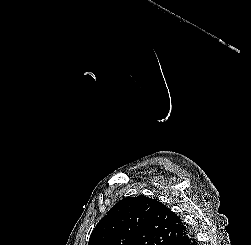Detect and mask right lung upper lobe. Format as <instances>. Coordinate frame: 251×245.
I'll list each match as a JSON object with an SVG mask.
<instances>
[{
	"instance_id": "right-lung-upper-lobe-1",
	"label": "right lung upper lobe",
	"mask_w": 251,
	"mask_h": 245,
	"mask_svg": "<svg viewBox=\"0 0 251 245\" xmlns=\"http://www.w3.org/2000/svg\"><path fill=\"white\" fill-rule=\"evenodd\" d=\"M187 230L183 220L156 199L127 197L100 220L88 245H170Z\"/></svg>"
}]
</instances>
